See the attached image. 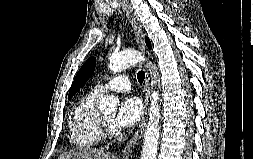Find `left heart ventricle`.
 <instances>
[{
	"label": "left heart ventricle",
	"mask_w": 253,
	"mask_h": 159,
	"mask_svg": "<svg viewBox=\"0 0 253 159\" xmlns=\"http://www.w3.org/2000/svg\"><path fill=\"white\" fill-rule=\"evenodd\" d=\"M114 112H108V113H105L103 114L104 118L108 121V123L112 126V122H113V119H114Z\"/></svg>",
	"instance_id": "obj_1"
}]
</instances>
